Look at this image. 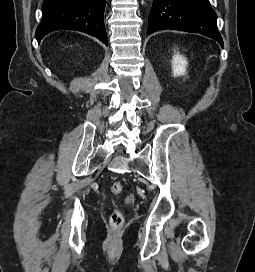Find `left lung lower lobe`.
Here are the masks:
<instances>
[{"mask_svg":"<svg viewBox=\"0 0 255 272\" xmlns=\"http://www.w3.org/2000/svg\"><path fill=\"white\" fill-rule=\"evenodd\" d=\"M216 20L209 0H154L147 34L164 29L195 32L214 39L223 47Z\"/></svg>","mask_w":255,"mask_h":272,"instance_id":"1","label":"left lung lower lobe"}]
</instances>
